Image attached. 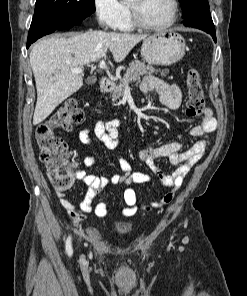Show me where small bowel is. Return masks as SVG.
Segmentation results:
<instances>
[{"mask_svg":"<svg viewBox=\"0 0 247 296\" xmlns=\"http://www.w3.org/2000/svg\"><path fill=\"white\" fill-rule=\"evenodd\" d=\"M141 90L144 93L157 92L162 102L169 108H178L181 104L182 94L179 87L175 84H168L156 77L147 76L141 83ZM122 122L118 119L98 121L92 128L86 127L79 133L80 140L84 144H92L90 137L94 134L96 139L107 149L116 150L119 146L118 128ZM217 121L213 116V111L205 107L201 113L200 123L191 128L190 133L199 140L188 150L182 151L183 144L180 142H170L152 145L141 149L138 153L139 159L144 162L159 182L170 189L158 200L148 201L142 206L144 210H152L168 205L174 198L176 190L182 185L184 177L206 152L209 146L208 135L215 131ZM160 157H166L177 169L170 175L164 174L155 164ZM118 165L121 174H112L109 177L97 176L87 173L84 169H78L75 176L87 186V191L79 206L69 201L63 191L57 192V197L67 215L75 222H81L90 214L98 218H105L108 214V207L104 202L93 205L95 197L107 185H125L123 193L125 208L122 210L124 217H131L139 210L137 193L132 184H145L152 180V177L145 173L134 172L129 162L123 157L118 156ZM85 167L96 165L97 160L93 156H85L82 160Z\"/></svg>","mask_w":247,"mask_h":296,"instance_id":"c3829d8e","label":"small bowel"}]
</instances>
